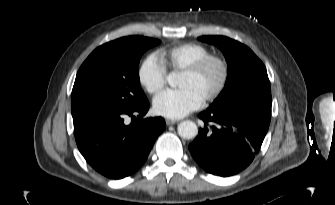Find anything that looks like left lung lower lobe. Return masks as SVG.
I'll use <instances>...</instances> for the list:
<instances>
[{
	"label": "left lung lower lobe",
	"instance_id": "0a47b994",
	"mask_svg": "<svg viewBox=\"0 0 335 205\" xmlns=\"http://www.w3.org/2000/svg\"><path fill=\"white\" fill-rule=\"evenodd\" d=\"M199 118L206 125L189 150L207 172L227 177L252 162L268 131L271 113L251 107L208 108Z\"/></svg>",
	"mask_w": 335,
	"mask_h": 205
}]
</instances>
